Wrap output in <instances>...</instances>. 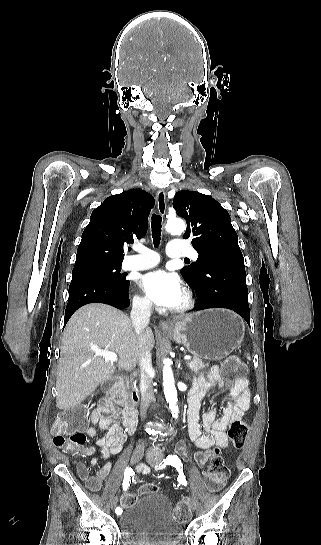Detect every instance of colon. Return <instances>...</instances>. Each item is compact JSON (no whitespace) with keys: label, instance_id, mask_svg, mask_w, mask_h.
<instances>
[{"label":"colon","instance_id":"colon-1","mask_svg":"<svg viewBox=\"0 0 321 545\" xmlns=\"http://www.w3.org/2000/svg\"><path fill=\"white\" fill-rule=\"evenodd\" d=\"M223 373L234 380V386L244 379L246 372L245 365L236 357L227 358L222 364ZM233 386V387H234ZM86 410L83 407H77L61 412L52 427L53 442L55 446L74 456L81 454V449L86 442L84 429L86 427ZM249 430V425L243 420H234L231 422L228 436L232 448L240 449L245 443ZM77 471L87 487L91 490L99 489L101 482L96 476H90L88 469L84 464H79ZM229 474V469L220 455V450L215 449L211 463L205 473V484L209 491L217 492L224 486ZM158 492V487L154 484H145L140 488V493ZM137 499L133 493L124 494L119 504L122 509L130 507ZM174 517L180 522H186L190 518V511L187 503L179 502L173 511Z\"/></svg>","mask_w":321,"mask_h":545}]
</instances>
